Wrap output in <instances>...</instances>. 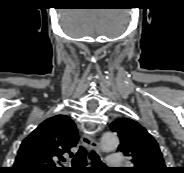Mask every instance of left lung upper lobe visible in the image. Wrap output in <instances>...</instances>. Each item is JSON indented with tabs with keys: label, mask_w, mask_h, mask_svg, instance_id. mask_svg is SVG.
Instances as JSON below:
<instances>
[{
	"label": "left lung upper lobe",
	"mask_w": 184,
	"mask_h": 173,
	"mask_svg": "<svg viewBox=\"0 0 184 173\" xmlns=\"http://www.w3.org/2000/svg\"><path fill=\"white\" fill-rule=\"evenodd\" d=\"M110 129L120 138L118 151L129 156L134 165L123 168V173H167L159 145L144 127L132 119L120 118L110 124Z\"/></svg>",
	"instance_id": "1"
}]
</instances>
